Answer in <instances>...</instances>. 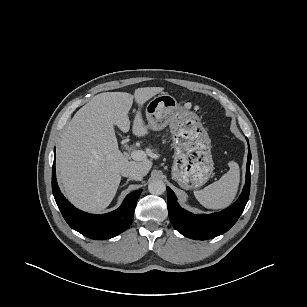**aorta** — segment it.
I'll list each match as a JSON object with an SVG mask.
<instances>
[{"mask_svg":"<svg viewBox=\"0 0 307 307\" xmlns=\"http://www.w3.org/2000/svg\"><path fill=\"white\" fill-rule=\"evenodd\" d=\"M148 190L151 194L161 195L166 190V185L161 180H152L148 185Z\"/></svg>","mask_w":307,"mask_h":307,"instance_id":"1","label":"aorta"}]
</instances>
